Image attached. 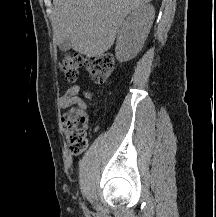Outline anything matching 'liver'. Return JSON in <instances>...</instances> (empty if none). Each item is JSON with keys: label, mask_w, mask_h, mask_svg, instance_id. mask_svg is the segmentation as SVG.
<instances>
[{"label": "liver", "mask_w": 216, "mask_h": 217, "mask_svg": "<svg viewBox=\"0 0 216 217\" xmlns=\"http://www.w3.org/2000/svg\"><path fill=\"white\" fill-rule=\"evenodd\" d=\"M151 0H53V39L69 38L74 51L100 56L113 45L125 17Z\"/></svg>", "instance_id": "liver-1"}]
</instances>
